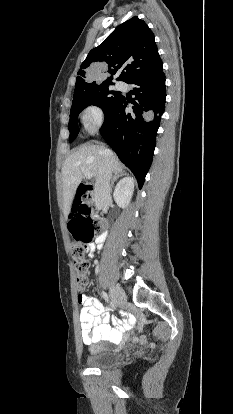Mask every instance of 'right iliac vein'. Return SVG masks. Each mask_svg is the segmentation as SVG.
I'll return each mask as SVG.
<instances>
[{"mask_svg":"<svg viewBox=\"0 0 233 414\" xmlns=\"http://www.w3.org/2000/svg\"><path fill=\"white\" fill-rule=\"evenodd\" d=\"M110 296L117 307H122L126 303V294L120 287L112 286L110 288Z\"/></svg>","mask_w":233,"mask_h":414,"instance_id":"right-iliac-vein-1","label":"right iliac vein"}]
</instances>
